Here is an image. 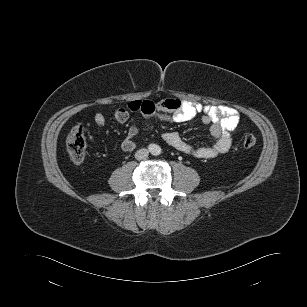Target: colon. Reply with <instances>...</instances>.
Segmentation results:
<instances>
[{
  "label": "colon",
  "mask_w": 307,
  "mask_h": 307,
  "mask_svg": "<svg viewBox=\"0 0 307 307\" xmlns=\"http://www.w3.org/2000/svg\"><path fill=\"white\" fill-rule=\"evenodd\" d=\"M243 147L250 149L256 144V138L247 134L243 138ZM86 150V133L83 125L75 126L68 135L67 138V151L71 160L78 164L81 163L85 157Z\"/></svg>",
  "instance_id": "1"
}]
</instances>
